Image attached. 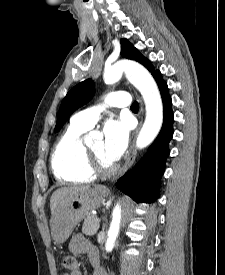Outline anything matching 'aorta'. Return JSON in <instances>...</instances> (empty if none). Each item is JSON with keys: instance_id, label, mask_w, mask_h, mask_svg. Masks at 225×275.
Segmentation results:
<instances>
[{"instance_id": "aorta-1", "label": "aorta", "mask_w": 225, "mask_h": 275, "mask_svg": "<svg viewBox=\"0 0 225 275\" xmlns=\"http://www.w3.org/2000/svg\"><path fill=\"white\" fill-rule=\"evenodd\" d=\"M141 93L146 107V118L136 140V146L143 149L156 138L163 123V105L155 80L140 64L131 61H122L107 68L104 72V81L107 84L117 82L122 74ZM121 222V207L117 204L112 212V220L105 244L106 251H112L119 234Z\"/></svg>"}]
</instances>
